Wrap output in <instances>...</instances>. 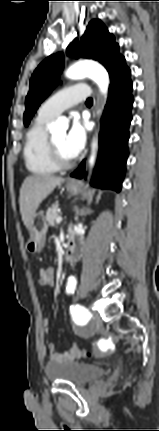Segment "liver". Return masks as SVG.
I'll return each instance as SVG.
<instances>
[{
    "label": "liver",
    "mask_w": 159,
    "mask_h": 431,
    "mask_svg": "<svg viewBox=\"0 0 159 431\" xmlns=\"http://www.w3.org/2000/svg\"><path fill=\"white\" fill-rule=\"evenodd\" d=\"M62 182L64 178L53 175L26 177L20 189L19 205L23 223L27 228L41 202Z\"/></svg>",
    "instance_id": "1"
}]
</instances>
